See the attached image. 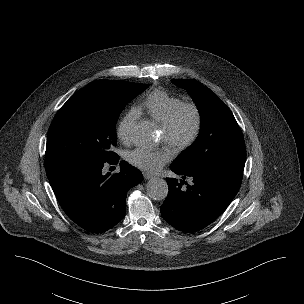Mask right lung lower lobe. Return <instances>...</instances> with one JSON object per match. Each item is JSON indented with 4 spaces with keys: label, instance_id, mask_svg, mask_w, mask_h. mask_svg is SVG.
Segmentation results:
<instances>
[{
    "label": "right lung lower lobe",
    "instance_id": "obj_1",
    "mask_svg": "<svg viewBox=\"0 0 304 304\" xmlns=\"http://www.w3.org/2000/svg\"><path fill=\"white\" fill-rule=\"evenodd\" d=\"M119 158L108 162L116 164ZM104 163L61 168L48 177L56 198L68 215L83 229L100 233L119 223L126 211L127 191L139 184L141 172L120 162L118 174L107 173Z\"/></svg>",
    "mask_w": 304,
    "mask_h": 304
}]
</instances>
